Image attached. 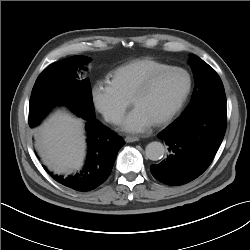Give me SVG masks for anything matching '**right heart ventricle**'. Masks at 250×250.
<instances>
[{"label": "right heart ventricle", "mask_w": 250, "mask_h": 250, "mask_svg": "<svg viewBox=\"0 0 250 250\" xmlns=\"http://www.w3.org/2000/svg\"><path fill=\"white\" fill-rule=\"evenodd\" d=\"M169 65L151 57L130 60L110 74V81L124 96L131 99L140 84L153 72Z\"/></svg>", "instance_id": "e07e8e85"}]
</instances>
